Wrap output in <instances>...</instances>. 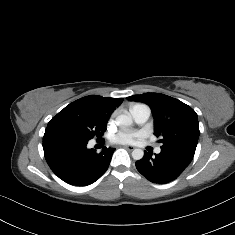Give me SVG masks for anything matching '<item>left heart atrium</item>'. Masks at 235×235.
<instances>
[{
    "label": "left heart atrium",
    "mask_w": 235,
    "mask_h": 235,
    "mask_svg": "<svg viewBox=\"0 0 235 235\" xmlns=\"http://www.w3.org/2000/svg\"><path fill=\"white\" fill-rule=\"evenodd\" d=\"M139 137L138 133L132 132H119L111 137V141L114 143H128L133 139Z\"/></svg>",
    "instance_id": "1"
}]
</instances>
